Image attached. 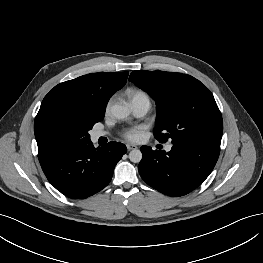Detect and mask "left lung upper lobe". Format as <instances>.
<instances>
[{"label": "left lung upper lobe", "mask_w": 263, "mask_h": 263, "mask_svg": "<svg viewBox=\"0 0 263 263\" xmlns=\"http://www.w3.org/2000/svg\"><path fill=\"white\" fill-rule=\"evenodd\" d=\"M129 80L156 101L154 136L159 142H221L223 121L210 90L194 77L165 71H134Z\"/></svg>", "instance_id": "5c2ea615"}]
</instances>
